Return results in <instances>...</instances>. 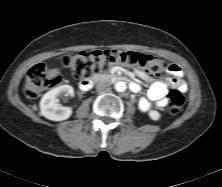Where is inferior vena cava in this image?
Returning a JSON list of instances; mask_svg holds the SVG:
<instances>
[{"instance_id": "obj_1", "label": "inferior vena cava", "mask_w": 222, "mask_h": 187, "mask_svg": "<svg viewBox=\"0 0 222 187\" xmlns=\"http://www.w3.org/2000/svg\"><path fill=\"white\" fill-rule=\"evenodd\" d=\"M109 86V84L105 81H99L96 85V89L98 91H103L105 90L107 87Z\"/></svg>"}]
</instances>
